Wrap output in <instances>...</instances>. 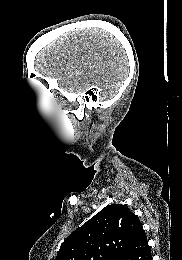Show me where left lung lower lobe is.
Wrapping results in <instances>:
<instances>
[{
	"label": "left lung lower lobe",
	"instance_id": "0a47b994",
	"mask_svg": "<svg viewBox=\"0 0 182 260\" xmlns=\"http://www.w3.org/2000/svg\"><path fill=\"white\" fill-rule=\"evenodd\" d=\"M121 260H152L151 249L142 227L133 236Z\"/></svg>",
	"mask_w": 182,
	"mask_h": 260
}]
</instances>
